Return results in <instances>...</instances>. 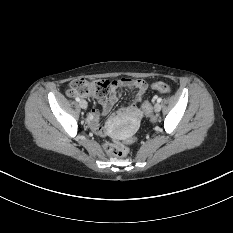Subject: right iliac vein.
<instances>
[{"label":"right iliac vein","mask_w":233,"mask_h":233,"mask_svg":"<svg viewBox=\"0 0 233 233\" xmlns=\"http://www.w3.org/2000/svg\"><path fill=\"white\" fill-rule=\"evenodd\" d=\"M79 105H80V107H81L82 109H86V108L88 107V104H87V102H86L85 100H81V101L79 102Z\"/></svg>","instance_id":"right-iliac-vein-1"}]
</instances>
